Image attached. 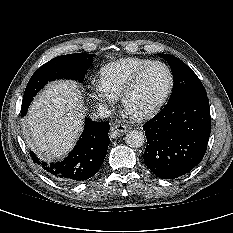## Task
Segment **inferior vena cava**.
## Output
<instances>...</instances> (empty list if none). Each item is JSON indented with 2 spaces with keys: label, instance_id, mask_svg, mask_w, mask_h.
Wrapping results in <instances>:
<instances>
[{
  "label": "inferior vena cava",
  "instance_id": "602c4592",
  "mask_svg": "<svg viewBox=\"0 0 233 233\" xmlns=\"http://www.w3.org/2000/svg\"><path fill=\"white\" fill-rule=\"evenodd\" d=\"M97 111L101 119L108 118L111 114V110L105 105H99Z\"/></svg>",
  "mask_w": 233,
  "mask_h": 233
}]
</instances>
